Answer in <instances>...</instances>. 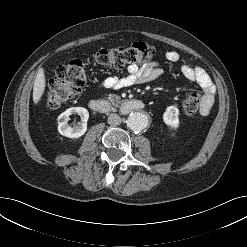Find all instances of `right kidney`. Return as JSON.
Listing matches in <instances>:
<instances>
[{
    "mask_svg": "<svg viewBox=\"0 0 247 247\" xmlns=\"http://www.w3.org/2000/svg\"><path fill=\"white\" fill-rule=\"evenodd\" d=\"M77 113L81 117L82 123L76 126L68 124L69 116ZM89 112L83 107H71L58 116V131L61 135L69 138H79L87 131V121Z\"/></svg>",
    "mask_w": 247,
    "mask_h": 247,
    "instance_id": "right-kidney-1",
    "label": "right kidney"
}]
</instances>
